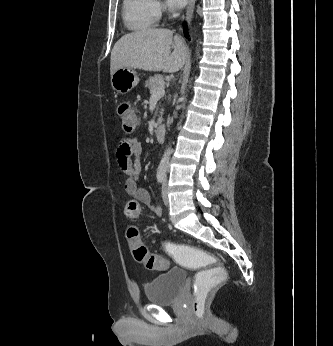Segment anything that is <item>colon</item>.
<instances>
[{
	"instance_id": "colon-1",
	"label": "colon",
	"mask_w": 333,
	"mask_h": 346,
	"mask_svg": "<svg viewBox=\"0 0 333 346\" xmlns=\"http://www.w3.org/2000/svg\"><path fill=\"white\" fill-rule=\"evenodd\" d=\"M118 115L122 123L123 131L130 134L138 124V116L129 102H122L118 106ZM139 213V205L136 201L127 204L125 214L128 220L134 221ZM129 246L132 250L134 259L144 265L149 270H167L170 266L169 260H174L176 268H190V271H201L196 274L193 286V309L196 313L201 307L207 306L209 294L215 293V288H224L225 280L229 279V274L224 269L223 264H216L217 259L204 252L203 249H196L192 244H170L169 249L163 253L167 259L150 253L145 244L139 239V232L136 227H130L127 231ZM211 265V269H209Z\"/></svg>"
}]
</instances>
